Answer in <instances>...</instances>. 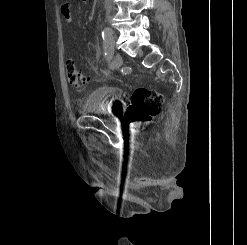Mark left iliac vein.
<instances>
[{
	"label": "left iliac vein",
	"instance_id": "4c4485c4",
	"mask_svg": "<svg viewBox=\"0 0 247 245\" xmlns=\"http://www.w3.org/2000/svg\"><path fill=\"white\" fill-rule=\"evenodd\" d=\"M115 40V39H114ZM115 46V45H114ZM123 61L120 55L116 54L114 55L113 61H112V68H118L122 65Z\"/></svg>",
	"mask_w": 247,
	"mask_h": 245
}]
</instances>
